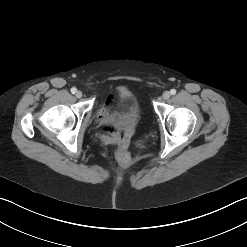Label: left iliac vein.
<instances>
[{"label": "left iliac vein", "instance_id": "obj_1", "mask_svg": "<svg viewBox=\"0 0 247 247\" xmlns=\"http://www.w3.org/2000/svg\"><path fill=\"white\" fill-rule=\"evenodd\" d=\"M170 96H171V94H170L169 91H165V92L162 94V98H163L164 100L169 99Z\"/></svg>", "mask_w": 247, "mask_h": 247}]
</instances>
